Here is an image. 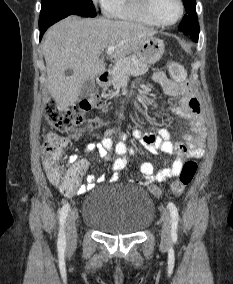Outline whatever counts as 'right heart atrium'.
I'll use <instances>...</instances> for the list:
<instances>
[{
	"label": "right heart atrium",
	"instance_id": "right-heart-atrium-1",
	"mask_svg": "<svg viewBox=\"0 0 233 284\" xmlns=\"http://www.w3.org/2000/svg\"><path fill=\"white\" fill-rule=\"evenodd\" d=\"M94 2L100 3L101 5L104 4L105 0H93Z\"/></svg>",
	"mask_w": 233,
	"mask_h": 284
}]
</instances>
